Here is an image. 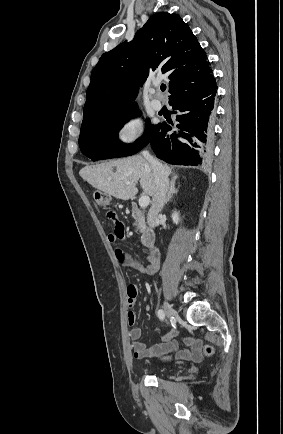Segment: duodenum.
<instances>
[{
    "instance_id": "duodenum-1",
    "label": "duodenum",
    "mask_w": 283,
    "mask_h": 434,
    "mask_svg": "<svg viewBox=\"0 0 283 434\" xmlns=\"http://www.w3.org/2000/svg\"><path fill=\"white\" fill-rule=\"evenodd\" d=\"M131 213L138 221L144 224L143 233H142L143 245L151 249L152 252L157 253L158 251L154 248L155 232L146 225L145 214L139 209V207L135 203L131 204Z\"/></svg>"
}]
</instances>
